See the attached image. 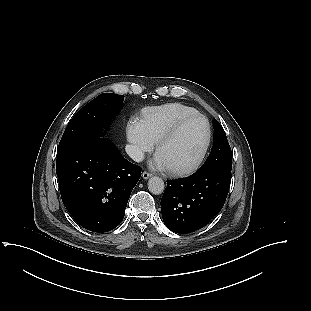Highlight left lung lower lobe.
<instances>
[{"label":"left lung lower lobe","mask_w":311,"mask_h":311,"mask_svg":"<svg viewBox=\"0 0 311 311\" xmlns=\"http://www.w3.org/2000/svg\"><path fill=\"white\" fill-rule=\"evenodd\" d=\"M231 183V171L208 167L187 178L168 180L161 200L165 225L180 234L194 232L220 212Z\"/></svg>","instance_id":"0a47b994"}]
</instances>
